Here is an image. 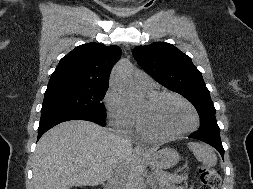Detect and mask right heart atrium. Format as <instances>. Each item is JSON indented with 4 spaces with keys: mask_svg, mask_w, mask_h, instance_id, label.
<instances>
[{
    "mask_svg": "<svg viewBox=\"0 0 253 189\" xmlns=\"http://www.w3.org/2000/svg\"><path fill=\"white\" fill-rule=\"evenodd\" d=\"M104 103L111 124L121 130H130L135 123V115L126 107L121 96L109 89L104 97Z\"/></svg>",
    "mask_w": 253,
    "mask_h": 189,
    "instance_id": "1",
    "label": "right heart atrium"
}]
</instances>
